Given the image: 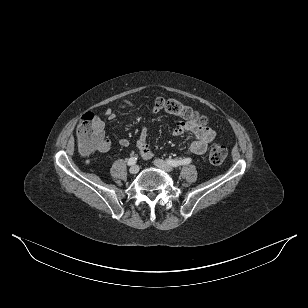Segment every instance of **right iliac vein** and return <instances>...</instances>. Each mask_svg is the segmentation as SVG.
<instances>
[{"label": "right iliac vein", "mask_w": 308, "mask_h": 308, "mask_svg": "<svg viewBox=\"0 0 308 308\" xmlns=\"http://www.w3.org/2000/svg\"><path fill=\"white\" fill-rule=\"evenodd\" d=\"M129 172L131 174H137L139 172V166L138 165H133L132 167H130Z\"/></svg>", "instance_id": "right-iliac-vein-1"}]
</instances>
